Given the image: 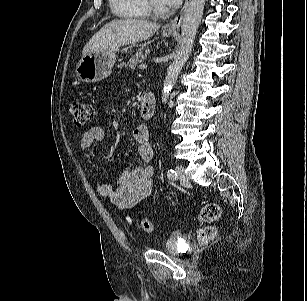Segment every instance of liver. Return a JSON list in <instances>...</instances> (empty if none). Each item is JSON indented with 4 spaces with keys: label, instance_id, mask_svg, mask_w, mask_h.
<instances>
[{
    "label": "liver",
    "instance_id": "liver-1",
    "mask_svg": "<svg viewBox=\"0 0 307 301\" xmlns=\"http://www.w3.org/2000/svg\"><path fill=\"white\" fill-rule=\"evenodd\" d=\"M160 25L141 19L113 20L104 25L84 46L83 57L95 52L114 50L149 39Z\"/></svg>",
    "mask_w": 307,
    "mask_h": 301
}]
</instances>
